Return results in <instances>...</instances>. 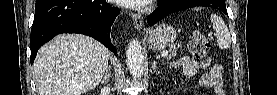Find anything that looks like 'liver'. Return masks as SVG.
Segmentation results:
<instances>
[{"label":"liver","mask_w":277,"mask_h":95,"mask_svg":"<svg viewBox=\"0 0 277 95\" xmlns=\"http://www.w3.org/2000/svg\"><path fill=\"white\" fill-rule=\"evenodd\" d=\"M110 51L91 37L60 34L43 45L33 64L39 95H83L102 80Z\"/></svg>","instance_id":"obj_1"}]
</instances>
